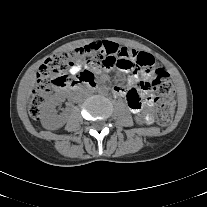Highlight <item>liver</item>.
<instances>
[{"instance_id":"6515ba94","label":"liver","mask_w":207,"mask_h":207,"mask_svg":"<svg viewBox=\"0 0 207 207\" xmlns=\"http://www.w3.org/2000/svg\"><path fill=\"white\" fill-rule=\"evenodd\" d=\"M35 81H36V77L35 74H33L27 81L26 86L24 88V96L26 99H28V97L31 95V91L35 86Z\"/></svg>"}]
</instances>
